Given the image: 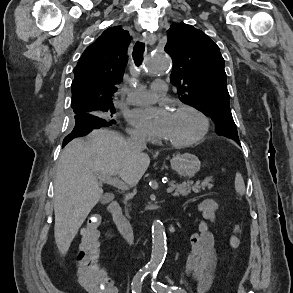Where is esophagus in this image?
Masks as SVG:
<instances>
[{
    "label": "esophagus",
    "mask_w": 293,
    "mask_h": 293,
    "mask_svg": "<svg viewBox=\"0 0 293 293\" xmlns=\"http://www.w3.org/2000/svg\"><path fill=\"white\" fill-rule=\"evenodd\" d=\"M155 40H156L155 35H150V34L142 37V39H141L142 42H145L146 44H148L150 46L155 43Z\"/></svg>",
    "instance_id": "1"
}]
</instances>
